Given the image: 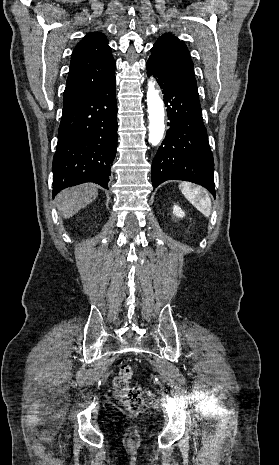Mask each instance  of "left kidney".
<instances>
[{
  "label": "left kidney",
  "instance_id": "1",
  "mask_svg": "<svg viewBox=\"0 0 279 465\" xmlns=\"http://www.w3.org/2000/svg\"><path fill=\"white\" fill-rule=\"evenodd\" d=\"M173 214L176 217H180V218H183L185 216L183 210L179 206H176V205L173 206Z\"/></svg>",
  "mask_w": 279,
  "mask_h": 465
}]
</instances>
